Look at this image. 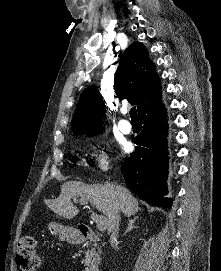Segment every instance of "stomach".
Wrapping results in <instances>:
<instances>
[{"instance_id":"obj_1","label":"stomach","mask_w":221,"mask_h":271,"mask_svg":"<svg viewBox=\"0 0 221 271\" xmlns=\"http://www.w3.org/2000/svg\"><path fill=\"white\" fill-rule=\"evenodd\" d=\"M47 229L50 231L51 235H59V237L62 238H79L80 234L79 230H69V227H64V225L55 223V221L48 223Z\"/></svg>"}]
</instances>
